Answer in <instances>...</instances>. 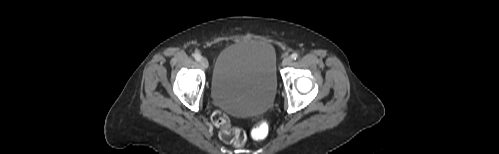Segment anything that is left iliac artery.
<instances>
[{"label": "left iliac artery", "mask_w": 499, "mask_h": 154, "mask_svg": "<svg viewBox=\"0 0 499 154\" xmlns=\"http://www.w3.org/2000/svg\"><path fill=\"white\" fill-rule=\"evenodd\" d=\"M291 58H292L293 60H296V59L298 58V54H297V53H293V54L291 55Z\"/></svg>", "instance_id": "44dca946"}]
</instances>
